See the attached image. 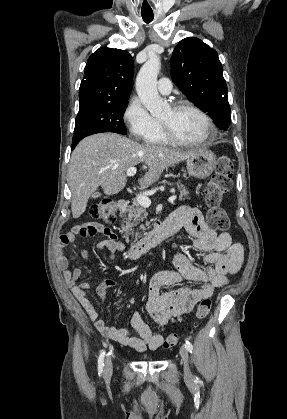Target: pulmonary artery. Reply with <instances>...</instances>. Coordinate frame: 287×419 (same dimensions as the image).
I'll return each instance as SVG.
<instances>
[{
	"label": "pulmonary artery",
	"mask_w": 287,
	"mask_h": 419,
	"mask_svg": "<svg viewBox=\"0 0 287 419\" xmlns=\"http://www.w3.org/2000/svg\"><path fill=\"white\" fill-rule=\"evenodd\" d=\"M157 88L161 94H169L172 90V83L168 78L163 77L158 81Z\"/></svg>",
	"instance_id": "obj_1"
}]
</instances>
